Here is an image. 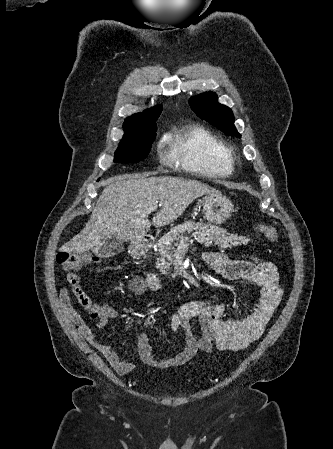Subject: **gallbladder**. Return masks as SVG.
Instances as JSON below:
<instances>
[{
    "label": "gallbladder",
    "instance_id": "1",
    "mask_svg": "<svg viewBox=\"0 0 333 449\" xmlns=\"http://www.w3.org/2000/svg\"><path fill=\"white\" fill-rule=\"evenodd\" d=\"M123 249V241L117 237H110L105 239L101 245L96 246L93 252L98 257H111L120 253Z\"/></svg>",
    "mask_w": 333,
    "mask_h": 449
}]
</instances>
